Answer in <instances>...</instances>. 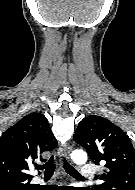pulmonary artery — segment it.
<instances>
[{"mask_svg": "<svg viewBox=\"0 0 135 190\" xmlns=\"http://www.w3.org/2000/svg\"><path fill=\"white\" fill-rule=\"evenodd\" d=\"M96 174V168L93 164H84L81 167V175L83 178H92ZM37 182H40L39 179H36Z\"/></svg>", "mask_w": 135, "mask_h": 190, "instance_id": "e3ab8cb5", "label": "pulmonary artery"}]
</instances>
